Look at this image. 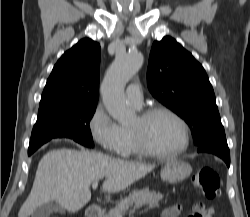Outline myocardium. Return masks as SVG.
<instances>
[{
    "instance_id": "myocardium-1",
    "label": "myocardium",
    "mask_w": 250,
    "mask_h": 217,
    "mask_svg": "<svg viewBox=\"0 0 250 217\" xmlns=\"http://www.w3.org/2000/svg\"><path fill=\"white\" fill-rule=\"evenodd\" d=\"M157 113L168 114L169 116L174 118L179 123V125L181 126V129H182V134H183L182 145L178 149L171 151V152H167V153L159 152V151L155 150L148 143V141L146 140V138L144 137V135L141 131L131 129L139 150L144 155L158 158V159H170V158L179 156L180 154L185 152V150L188 148L189 142H190V130H189V126H188L187 122L176 111H174L173 109H171L167 106H164V105H154V106H150V107L146 108L145 110H143L140 113L139 118H140L141 122L144 123L150 117H152L153 115H155Z\"/></svg>"
}]
</instances>
